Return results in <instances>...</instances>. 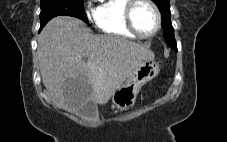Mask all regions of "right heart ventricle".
<instances>
[{
	"mask_svg": "<svg viewBox=\"0 0 227 142\" xmlns=\"http://www.w3.org/2000/svg\"><path fill=\"white\" fill-rule=\"evenodd\" d=\"M128 0H103L95 10L96 27L104 34L129 39L136 36L131 33L124 19V10Z\"/></svg>",
	"mask_w": 227,
	"mask_h": 142,
	"instance_id": "right-heart-ventricle-1",
	"label": "right heart ventricle"
}]
</instances>
